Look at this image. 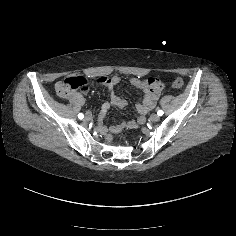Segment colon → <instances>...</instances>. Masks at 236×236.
I'll return each instance as SVG.
<instances>
[{
    "label": "colon",
    "mask_w": 236,
    "mask_h": 236,
    "mask_svg": "<svg viewBox=\"0 0 236 236\" xmlns=\"http://www.w3.org/2000/svg\"><path fill=\"white\" fill-rule=\"evenodd\" d=\"M150 83H155V79H150ZM184 82L181 77H175L172 81V86L174 88H181L183 86ZM87 85V80L82 76H72L68 77L56 85L57 93L61 96H67L75 91H78L80 89H84ZM112 134H107V139H112Z\"/></svg>",
    "instance_id": "colon-1"
}]
</instances>
